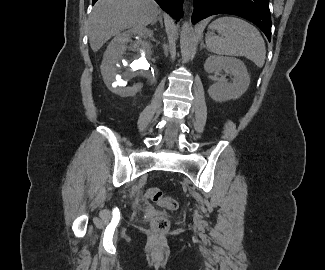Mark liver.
<instances>
[{"label":"liver","mask_w":325,"mask_h":270,"mask_svg":"<svg viewBox=\"0 0 325 270\" xmlns=\"http://www.w3.org/2000/svg\"><path fill=\"white\" fill-rule=\"evenodd\" d=\"M159 14L154 0H98L89 18L91 49L98 51L106 41L126 29H143Z\"/></svg>","instance_id":"obj_1"}]
</instances>
